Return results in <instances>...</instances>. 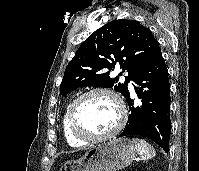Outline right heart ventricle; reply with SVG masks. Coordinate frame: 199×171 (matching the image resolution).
<instances>
[{"mask_svg":"<svg viewBox=\"0 0 199 171\" xmlns=\"http://www.w3.org/2000/svg\"><path fill=\"white\" fill-rule=\"evenodd\" d=\"M70 105L69 104L65 111H64V114H63V117H62V121H61V126H62V132H63V135H64V138L66 140V142L72 146V147H80V146H83L86 144L85 141H82L78 138H76L72 133H71V130L69 128V122H68V113H69V108H70Z\"/></svg>","mask_w":199,"mask_h":171,"instance_id":"e07e8e85","label":"right heart ventricle"}]
</instances>
